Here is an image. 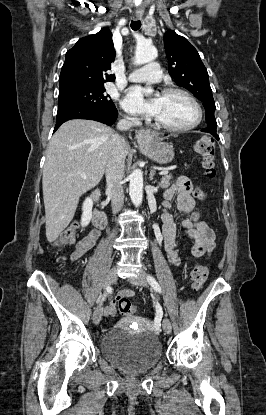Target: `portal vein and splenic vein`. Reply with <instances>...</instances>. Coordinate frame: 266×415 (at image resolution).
<instances>
[{"instance_id":"portal-vein-and-splenic-vein-1","label":"portal vein and splenic vein","mask_w":266,"mask_h":415,"mask_svg":"<svg viewBox=\"0 0 266 415\" xmlns=\"http://www.w3.org/2000/svg\"><path fill=\"white\" fill-rule=\"evenodd\" d=\"M168 172H169L168 169H166V170H162L159 174L160 175H165V174H168ZM82 178L83 179H86V176L85 175H82Z\"/></svg>"}]
</instances>
